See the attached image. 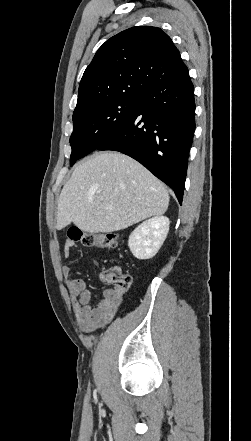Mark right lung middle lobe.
<instances>
[{"label": "right lung middle lobe", "instance_id": "dd1d6c3e", "mask_svg": "<svg viewBox=\"0 0 251 441\" xmlns=\"http://www.w3.org/2000/svg\"><path fill=\"white\" fill-rule=\"evenodd\" d=\"M140 98L138 94L109 97L92 102L74 113L70 166L96 150L118 130L134 112Z\"/></svg>", "mask_w": 251, "mask_h": 441}]
</instances>
